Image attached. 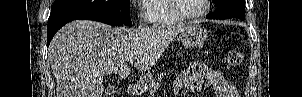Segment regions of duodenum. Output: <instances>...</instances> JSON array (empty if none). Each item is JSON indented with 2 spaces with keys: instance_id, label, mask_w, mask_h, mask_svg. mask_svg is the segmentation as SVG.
<instances>
[{
  "instance_id": "duodenum-1",
  "label": "duodenum",
  "mask_w": 302,
  "mask_h": 97,
  "mask_svg": "<svg viewBox=\"0 0 302 97\" xmlns=\"http://www.w3.org/2000/svg\"><path fill=\"white\" fill-rule=\"evenodd\" d=\"M141 89H142V83L140 81H135L128 86V92L132 96L138 94L141 91Z\"/></svg>"
}]
</instances>
